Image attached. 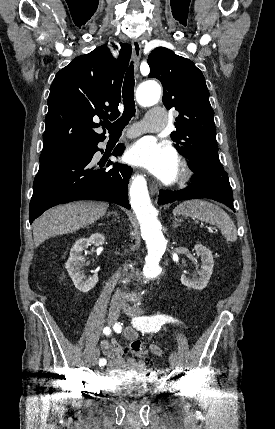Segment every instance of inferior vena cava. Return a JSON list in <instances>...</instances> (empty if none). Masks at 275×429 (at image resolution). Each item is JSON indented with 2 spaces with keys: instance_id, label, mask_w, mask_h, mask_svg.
Returning a JSON list of instances; mask_svg holds the SVG:
<instances>
[{
  "instance_id": "602c4592",
  "label": "inferior vena cava",
  "mask_w": 275,
  "mask_h": 429,
  "mask_svg": "<svg viewBox=\"0 0 275 429\" xmlns=\"http://www.w3.org/2000/svg\"><path fill=\"white\" fill-rule=\"evenodd\" d=\"M112 303L118 304V305H124L125 304L124 295L120 290H117L116 293L113 295Z\"/></svg>"
}]
</instances>
